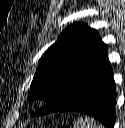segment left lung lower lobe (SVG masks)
Here are the masks:
<instances>
[{"mask_svg": "<svg viewBox=\"0 0 125 128\" xmlns=\"http://www.w3.org/2000/svg\"><path fill=\"white\" fill-rule=\"evenodd\" d=\"M116 87L107 54L102 56L78 84L73 97L55 112H79L113 128L116 114ZM47 111L43 112L46 114Z\"/></svg>", "mask_w": 125, "mask_h": 128, "instance_id": "0a47b994", "label": "left lung lower lobe"}]
</instances>
